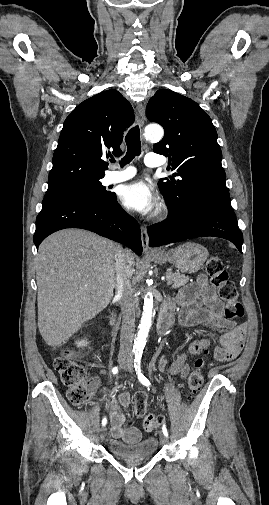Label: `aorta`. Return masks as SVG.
<instances>
[{
  "label": "aorta",
  "mask_w": 269,
  "mask_h": 505,
  "mask_svg": "<svg viewBox=\"0 0 269 505\" xmlns=\"http://www.w3.org/2000/svg\"><path fill=\"white\" fill-rule=\"evenodd\" d=\"M163 135V128L159 125H148L144 131V136L147 140L159 141L162 139ZM153 306V296L151 293H147L144 298L142 317L138 327L137 337L134 342V350L137 352H142L146 345L148 333L152 325Z\"/></svg>",
  "instance_id": "aorta-1"
}]
</instances>
